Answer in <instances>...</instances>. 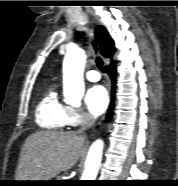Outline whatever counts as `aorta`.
I'll return each mask as SVG.
<instances>
[{
    "label": "aorta",
    "instance_id": "aorta-1",
    "mask_svg": "<svg viewBox=\"0 0 178 186\" xmlns=\"http://www.w3.org/2000/svg\"><path fill=\"white\" fill-rule=\"evenodd\" d=\"M86 61L82 49H70L63 61V94L66 101L80 104L84 95L83 71ZM103 141L96 140L90 147L81 180H95L101 163Z\"/></svg>",
    "mask_w": 178,
    "mask_h": 186
}]
</instances>
